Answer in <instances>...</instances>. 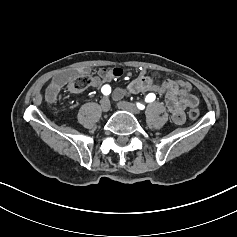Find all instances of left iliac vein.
Returning <instances> with one entry per match:
<instances>
[{"label": "left iliac vein", "instance_id": "left-iliac-vein-1", "mask_svg": "<svg viewBox=\"0 0 237 237\" xmlns=\"http://www.w3.org/2000/svg\"><path fill=\"white\" fill-rule=\"evenodd\" d=\"M117 107L120 110L131 112L134 115H138L140 113V110L137 107H135L131 103H128V102H125V101L118 102Z\"/></svg>", "mask_w": 237, "mask_h": 237}]
</instances>
